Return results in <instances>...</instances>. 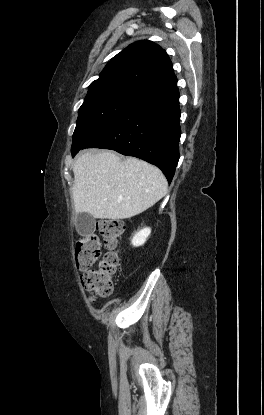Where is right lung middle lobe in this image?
Here are the masks:
<instances>
[{"instance_id":"right-lung-middle-lobe-1","label":"right lung middle lobe","mask_w":264,"mask_h":415,"mask_svg":"<svg viewBox=\"0 0 264 415\" xmlns=\"http://www.w3.org/2000/svg\"><path fill=\"white\" fill-rule=\"evenodd\" d=\"M141 100L138 96L122 92L86 96L78 112L71 151L81 148Z\"/></svg>"}]
</instances>
